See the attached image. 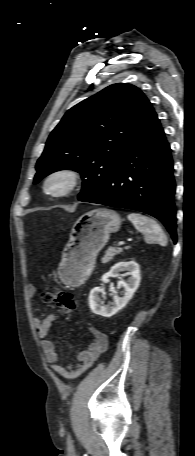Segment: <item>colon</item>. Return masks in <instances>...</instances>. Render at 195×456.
I'll return each mask as SVG.
<instances>
[{
    "label": "colon",
    "mask_w": 195,
    "mask_h": 456,
    "mask_svg": "<svg viewBox=\"0 0 195 456\" xmlns=\"http://www.w3.org/2000/svg\"><path fill=\"white\" fill-rule=\"evenodd\" d=\"M45 302H55L63 310L70 312L76 309L77 303L72 294L61 288H55L52 291H46L42 294Z\"/></svg>",
    "instance_id": "colon-1"
}]
</instances>
